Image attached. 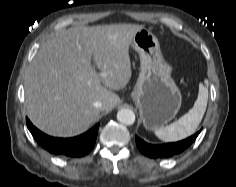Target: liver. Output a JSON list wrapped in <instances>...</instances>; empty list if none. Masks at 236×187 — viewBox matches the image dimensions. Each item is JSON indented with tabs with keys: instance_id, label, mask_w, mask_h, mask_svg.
<instances>
[{
	"instance_id": "obj_1",
	"label": "liver",
	"mask_w": 236,
	"mask_h": 187,
	"mask_svg": "<svg viewBox=\"0 0 236 187\" xmlns=\"http://www.w3.org/2000/svg\"><path fill=\"white\" fill-rule=\"evenodd\" d=\"M143 25L72 27L53 34L25 76L27 115L41 131L72 137L86 131L120 101L113 91L131 78L129 46ZM103 73L104 75H98ZM100 101L102 107L94 103Z\"/></svg>"
}]
</instances>
